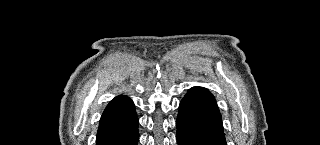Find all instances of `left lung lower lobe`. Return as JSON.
<instances>
[{"mask_svg": "<svg viewBox=\"0 0 320 145\" xmlns=\"http://www.w3.org/2000/svg\"><path fill=\"white\" fill-rule=\"evenodd\" d=\"M177 142L178 145H226L221 114L209 90L193 87L181 100Z\"/></svg>", "mask_w": 320, "mask_h": 145, "instance_id": "1", "label": "left lung lower lobe"}]
</instances>
